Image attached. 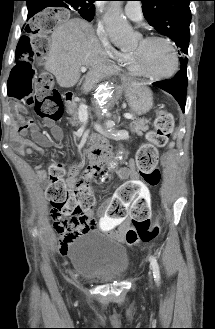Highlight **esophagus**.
<instances>
[{
    "label": "esophagus",
    "instance_id": "1",
    "mask_svg": "<svg viewBox=\"0 0 215 329\" xmlns=\"http://www.w3.org/2000/svg\"><path fill=\"white\" fill-rule=\"evenodd\" d=\"M122 79L125 80V81H128L129 80V77H127L126 75H123L122 76Z\"/></svg>",
    "mask_w": 215,
    "mask_h": 329
}]
</instances>
